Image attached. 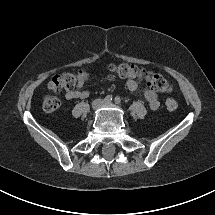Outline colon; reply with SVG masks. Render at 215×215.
<instances>
[{"label":"colon","mask_w":215,"mask_h":215,"mask_svg":"<svg viewBox=\"0 0 215 215\" xmlns=\"http://www.w3.org/2000/svg\"><path fill=\"white\" fill-rule=\"evenodd\" d=\"M110 70L121 78L139 79L155 91L168 92L171 90L169 82L164 77L133 64L120 63L111 65ZM78 79L79 74L64 73L56 75L48 82L47 87L55 93L62 90H73L78 84ZM42 106L46 112H53L59 108L60 100L55 96H46L43 99ZM165 107L173 111L177 109L178 103L174 98H167L165 100Z\"/></svg>","instance_id":"obj_1"}]
</instances>
